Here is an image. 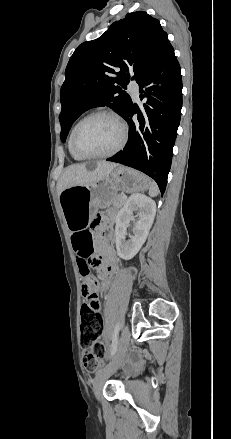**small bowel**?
Instances as JSON below:
<instances>
[{
  "label": "small bowel",
  "mask_w": 231,
  "mask_h": 439,
  "mask_svg": "<svg viewBox=\"0 0 231 439\" xmlns=\"http://www.w3.org/2000/svg\"><path fill=\"white\" fill-rule=\"evenodd\" d=\"M109 220H111V217H109ZM109 236L112 237V233ZM71 243L80 272L85 269L94 252L100 258L101 270L99 279L101 289L106 290L110 286L111 278L118 268V258L112 243L105 238H97L95 240L92 232L87 229L74 230L71 235ZM86 283L92 284L93 290H86L84 288ZM86 283L83 285V293L87 298L84 304L99 312L101 304L94 288L95 283L92 280H87Z\"/></svg>",
  "instance_id": "obj_1"
}]
</instances>
